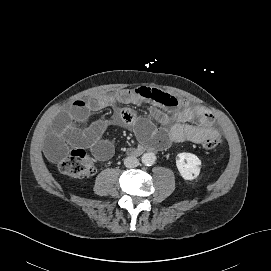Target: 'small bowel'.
I'll return each instance as SVG.
<instances>
[{
    "label": "small bowel",
    "mask_w": 271,
    "mask_h": 271,
    "mask_svg": "<svg viewBox=\"0 0 271 271\" xmlns=\"http://www.w3.org/2000/svg\"><path fill=\"white\" fill-rule=\"evenodd\" d=\"M120 105H148L152 120L128 107L118 108ZM108 107H116L111 117L92 122L83 129L74 126V122L85 123L93 112ZM196 120L198 122L193 123ZM112 125L133 128L140 140L155 148L185 141L200 144L209 134L218 132L213 115L205 109L159 89L140 86L75 100L67 112L55 119L52 133L45 142L46 155L51 161L58 162L67 144H71L89 148L98 160H107L114 154V146L103 135Z\"/></svg>",
    "instance_id": "c3829d8e"
}]
</instances>
